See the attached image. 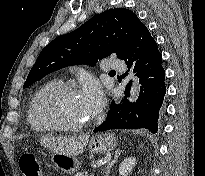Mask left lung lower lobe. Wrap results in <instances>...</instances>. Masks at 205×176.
<instances>
[{
  "label": "left lung lower lobe",
  "instance_id": "0a47b994",
  "mask_svg": "<svg viewBox=\"0 0 205 176\" xmlns=\"http://www.w3.org/2000/svg\"><path fill=\"white\" fill-rule=\"evenodd\" d=\"M121 60L133 68L141 84L136 102L130 103V84L126 86L122 100L110 106L106 120L94 130L146 128L152 133L158 131V119L166 93L165 70L158 46L145 25L137 31Z\"/></svg>",
  "mask_w": 205,
  "mask_h": 176
}]
</instances>
